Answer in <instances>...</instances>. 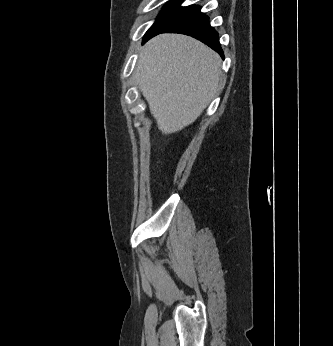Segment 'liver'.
I'll return each mask as SVG.
<instances>
[{"mask_svg": "<svg viewBox=\"0 0 333 346\" xmlns=\"http://www.w3.org/2000/svg\"><path fill=\"white\" fill-rule=\"evenodd\" d=\"M221 59L209 47L180 34H161L140 52L136 83L164 134L193 123L209 105L221 77Z\"/></svg>", "mask_w": 333, "mask_h": 346, "instance_id": "obj_1", "label": "liver"}]
</instances>
